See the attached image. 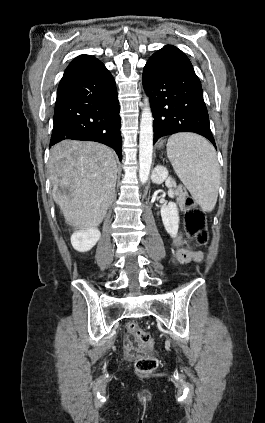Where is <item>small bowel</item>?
I'll return each mask as SVG.
<instances>
[{
  "label": "small bowel",
  "instance_id": "obj_1",
  "mask_svg": "<svg viewBox=\"0 0 265 423\" xmlns=\"http://www.w3.org/2000/svg\"><path fill=\"white\" fill-rule=\"evenodd\" d=\"M173 245L175 247L173 254V260L175 263L182 264L189 263L191 261L201 263L204 259L203 253L185 247L181 236H176L173 239ZM124 351L127 359L132 358L137 351L133 341L128 337H125L124 339Z\"/></svg>",
  "mask_w": 265,
  "mask_h": 423
}]
</instances>
